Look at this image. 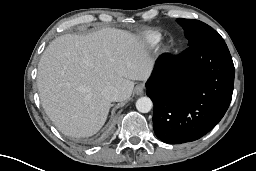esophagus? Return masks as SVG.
I'll list each match as a JSON object with an SVG mask.
<instances>
[{
    "label": "esophagus",
    "instance_id": "esophagus-1",
    "mask_svg": "<svg viewBox=\"0 0 256 171\" xmlns=\"http://www.w3.org/2000/svg\"><path fill=\"white\" fill-rule=\"evenodd\" d=\"M144 90H145L144 84L140 83V84L136 85L134 92L137 95H142L144 93Z\"/></svg>",
    "mask_w": 256,
    "mask_h": 171
}]
</instances>
